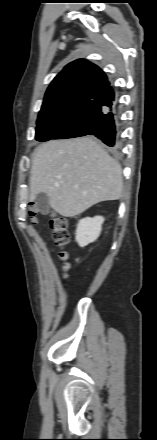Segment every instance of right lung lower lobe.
Returning a JSON list of instances; mask_svg holds the SVG:
<instances>
[{"label": "right lung lower lobe", "instance_id": "right-lung-lower-lobe-1", "mask_svg": "<svg viewBox=\"0 0 157 440\" xmlns=\"http://www.w3.org/2000/svg\"><path fill=\"white\" fill-rule=\"evenodd\" d=\"M119 127V121L116 108L103 112L90 125L87 126L92 134L102 140L110 147L117 146L116 136Z\"/></svg>", "mask_w": 157, "mask_h": 440}]
</instances>
